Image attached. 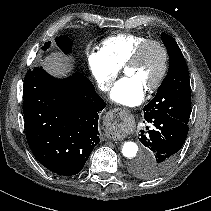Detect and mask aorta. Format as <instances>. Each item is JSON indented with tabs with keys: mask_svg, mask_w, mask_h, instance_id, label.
I'll list each match as a JSON object with an SVG mask.
<instances>
[{
	"mask_svg": "<svg viewBox=\"0 0 211 211\" xmlns=\"http://www.w3.org/2000/svg\"><path fill=\"white\" fill-rule=\"evenodd\" d=\"M138 146L132 141L125 142L122 146V154L128 159H133L137 156Z\"/></svg>",
	"mask_w": 211,
	"mask_h": 211,
	"instance_id": "aorta-1",
	"label": "aorta"
}]
</instances>
